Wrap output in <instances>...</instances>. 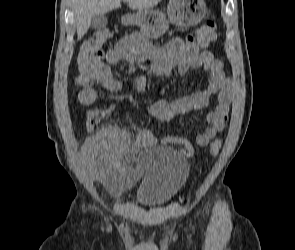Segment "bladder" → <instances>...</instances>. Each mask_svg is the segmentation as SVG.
<instances>
[{
	"instance_id": "1",
	"label": "bladder",
	"mask_w": 295,
	"mask_h": 250,
	"mask_svg": "<svg viewBox=\"0 0 295 250\" xmlns=\"http://www.w3.org/2000/svg\"><path fill=\"white\" fill-rule=\"evenodd\" d=\"M136 166L143 170L137 189L138 203L158 207L168 202L188 175V162L169 147L149 148L138 156Z\"/></svg>"
}]
</instances>
